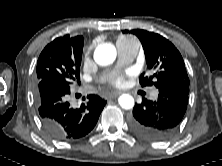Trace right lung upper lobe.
<instances>
[{
    "mask_svg": "<svg viewBox=\"0 0 222 166\" xmlns=\"http://www.w3.org/2000/svg\"><path fill=\"white\" fill-rule=\"evenodd\" d=\"M72 37L69 35L58 37L51 43H49L46 47L47 48H58V49H64L72 45Z\"/></svg>",
    "mask_w": 222,
    "mask_h": 166,
    "instance_id": "right-lung-upper-lobe-1",
    "label": "right lung upper lobe"
}]
</instances>
